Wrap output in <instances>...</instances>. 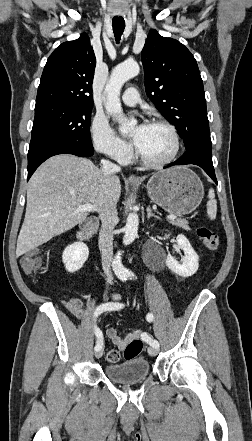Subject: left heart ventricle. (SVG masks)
I'll return each instance as SVG.
<instances>
[{"mask_svg": "<svg viewBox=\"0 0 252 441\" xmlns=\"http://www.w3.org/2000/svg\"><path fill=\"white\" fill-rule=\"evenodd\" d=\"M138 132L134 129L133 135ZM138 151L148 160L161 161L167 158L173 150V139L170 132L162 126L146 125Z\"/></svg>", "mask_w": 252, "mask_h": 441, "instance_id": "obj_1", "label": "left heart ventricle"}]
</instances>
